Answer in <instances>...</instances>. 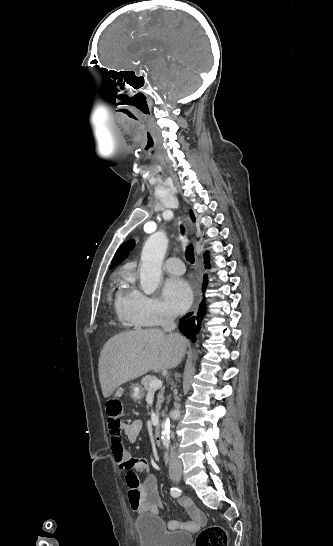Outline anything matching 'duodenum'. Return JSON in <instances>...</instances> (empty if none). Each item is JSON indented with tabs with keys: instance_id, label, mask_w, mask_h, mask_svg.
<instances>
[{
	"instance_id": "obj_1",
	"label": "duodenum",
	"mask_w": 333,
	"mask_h": 546,
	"mask_svg": "<svg viewBox=\"0 0 333 546\" xmlns=\"http://www.w3.org/2000/svg\"><path fill=\"white\" fill-rule=\"evenodd\" d=\"M153 438L155 443L160 444L162 441V432L161 427L157 425L153 430Z\"/></svg>"
}]
</instances>
